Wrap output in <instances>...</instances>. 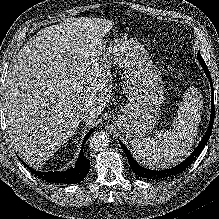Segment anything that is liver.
I'll return each mask as SVG.
<instances>
[{"label": "liver", "mask_w": 219, "mask_h": 219, "mask_svg": "<svg viewBox=\"0 0 219 219\" xmlns=\"http://www.w3.org/2000/svg\"><path fill=\"white\" fill-rule=\"evenodd\" d=\"M110 20L67 18L45 27L18 52L4 85L9 138L20 157L41 166L67 142L89 108L101 114L112 98V74L103 36Z\"/></svg>", "instance_id": "1"}]
</instances>
